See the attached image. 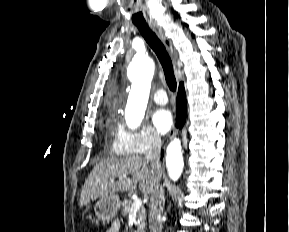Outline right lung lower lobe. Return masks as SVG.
<instances>
[{
    "mask_svg": "<svg viewBox=\"0 0 289 232\" xmlns=\"http://www.w3.org/2000/svg\"><path fill=\"white\" fill-rule=\"evenodd\" d=\"M187 116V106L185 101L184 84L179 85V91L177 95V113H176V126L182 128ZM163 156V152H162Z\"/></svg>",
    "mask_w": 289,
    "mask_h": 232,
    "instance_id": "obj_1",
    "label": "right lung lower lobe"
}]
</instances>
